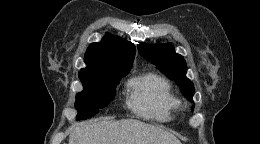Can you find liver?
<instances>
[{"label": "liver", "instance_id": "liver-1", "mask_svg": "<svg viewBox=\"0 0 260 144\" xmlns=\"http://www.w3.org/2000/svg\"><path fill=\"white\" fill-rule=\"evenodd\" d=\"M69 144H181L170 132L136 119L73 126Z\"/></svg>", "mask_w": 260, "mask_h": 144}]
</instances>
